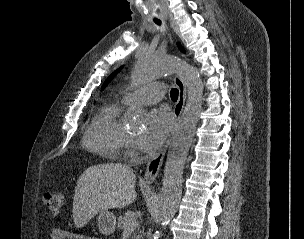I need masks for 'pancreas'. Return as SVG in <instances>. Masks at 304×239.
Instances as JSON below:
<instances>
[{"label":"pancreas","instance_id":"1","mask_svg":"<svg viewBox=\"0 0 304 239\" xmlns=\"http://www.w3.org/2000/svg\"><path fill=\"white\" fill-rule=\"evenodd\" d=\"M134 220H137V213L134 212V211H127L125 213L124 216H121L119 219H118V227L119 228H122V229H125L127 227L130 226L131 222L134 221ZM136 228L139 230V225L136 226ZM134 228V229H136ZM143 237V231L140 230L138 233H135L133 235V239H141Z\"/></svg>","mask_w":304,"mask_h":239}]
</instances>
